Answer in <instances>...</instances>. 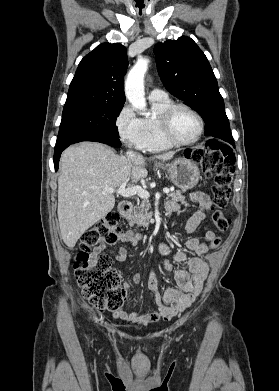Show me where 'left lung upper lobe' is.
I'll list each match as a JSON object with an SVG mask.
<instances>
[{
  "label": "left lung upper lobe",
  "mask_w": 279,
  "mask_h": 391,
  "mask_svg": "<svg viewBox=\"0 0 279 391\" xmlns=\"http://www.w3.org/2000/svg\"><path fill=\"white\" fill-rule=\"evenodd\" d=\"M157 70L166 89L197 111L205 122L206 136L232 138L223 98L213 70L189 37L168 40L154 47Z\"/></svg>",
  "instance_id": "5c2ea615"
}]
</instances>
